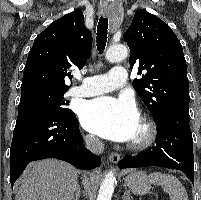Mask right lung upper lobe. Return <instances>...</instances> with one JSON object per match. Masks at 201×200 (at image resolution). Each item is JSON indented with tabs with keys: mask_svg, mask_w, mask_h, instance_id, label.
<instances>
[{
	"mask_svg": "<svg viewBox=\"0 0 201 200\" xmlns=\"http://www.w3.org/2000/svg\"><path fill=\"white\" fill-rule=\"evenodd\" d=\"M92 34L80 9L52 22L39 34L28 54L21 94L62 91L72 80L71 67L82 68L90 55Z\"/></svg>",
	"mask_w": 201,
	"mask_h": 200,
	"instance_id": "1",
	"label": "right lung upper lobe"
}]
</instances>
